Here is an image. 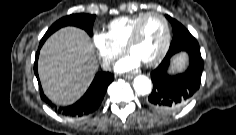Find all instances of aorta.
I'll return each instance as SVG.
<instances>
[{
  "mask_svg": "<svg viewBox=\"0 0 236 135\" xmlns=\"http://www.w3.org/2000/svg\"><path fill=\"white\" fill-rule=\"evenodd\" d=\"M133 86L135 91L140 95L149 94L152 90L151 80L144 75H139L135 77L133 81Z\"/></svg>",
  "mask_w": 236,
  "mask_h": 135,
  "instance_id": "762f6f07",
  "label": "aorta"
}]
</instances>
